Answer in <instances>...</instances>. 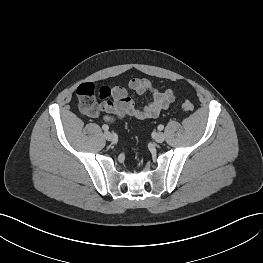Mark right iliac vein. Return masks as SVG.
Segmentation results:
<instances>
[{"instance_id": "63e3f726", "label": "right iliac vein", "mask_w": 263, "mask_h": 263, "mask_svg": "<svg viewBox=\"0 0 263 263\" xmlns=\"http://www.w3.org/2000/svg\"><path fill=\"white\" fill-rule=\"evenodd\" d=\"M104 138L108 141H112L114 139V136L111 132L106 131V132H104Z\"/></svg>"}]
</instances>
